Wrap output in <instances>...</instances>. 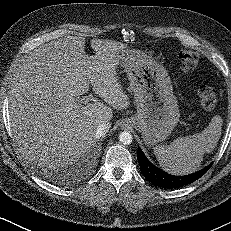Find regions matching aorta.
<instances>
[{
	"label": "aorta",
	"mask_w": 231,
	"mask_h": 231,
	"mask_svg": "<svg viewBox=\"0 0 231 231\" xmlns=\"http://www.w3.org/2000/svg\"><path fill=\"white\" fill-rule=\"evenodd\" d=\"M132 140H133L132 135H131V133L128 132V131H123V132H121L120 135H119V141H120L122 144H124V145H129V144H131V143H132Z\"/></svg>",
	"instance_id": "1"
}]
</instances>
